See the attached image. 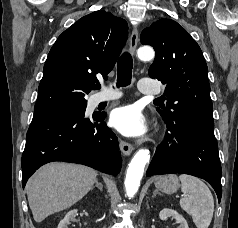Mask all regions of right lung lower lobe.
I'll return each mask as SVG.
<instances>
[{"mask_svg":"<svg viewBox=\"0 0 238 228\" xmlns=\"http://www.w3.org/2000/svg\"><path fill=\"white\" fill-rule=\"evenodd\" d=\"M85 112L66 109L35 114L22 155V185L43 164L64 161L118 175L121 153L118 139L103 121L106 114L84 117Z\"/></svg>","mask_w":238,"mask_h":228,"instance_id":"1","label":"right lung lower lobe"}]
</instances>
